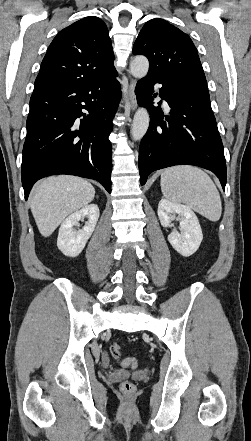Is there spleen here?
<instances>
[{"label":"spleen","instance_id":"1","mask_svg":"<svg viewBox=\"0 0 251 441\" xmlns=\"http://www.w3.org/2000/svg\"><path fill=\"white\" fill-rule=\"evenodd\" d=\"M160 184L163 196L170 202L183 203L212 222L220 219V194L202 169L190 165L169 167L162 171Z\"/></svg>","mask_w":251,"mask_h":441}]
</instances>
